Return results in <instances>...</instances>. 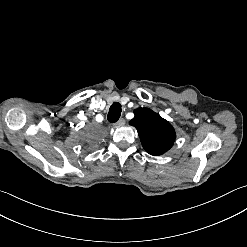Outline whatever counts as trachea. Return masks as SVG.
Masks as SVG:
<instances>
[{"instance_id": "obj_1", "label": "trachea", "mask_w": 247, "mask_h": 247, "mask_svg": "<svg viewBox=\"0 0 247 247\" xmlns=\"http://www.w3.org/2000/svg\"><path fill=\"white\" fill-rule=\"evenodd\" d=\"M121 115V105L119 103H113L109 109L108 121L110 123H115L119 120Z\"/></svg>"}]
</instances>
